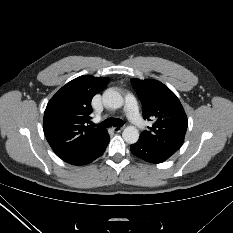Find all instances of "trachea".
<instances>
[{
  "instance_id": "1",
  "label": "trachea",
  "mask_w": 233,
  "mask_h": 233,
  "mask_svg": "<svg viewBox=\"0 0 233 233\" xmlns=\"http://www.w3.org/2000/svg\"><path fill=\"white\" fill-rule=\"evenodd\" d=\"M123 125H124V122H122V120L107 118L102 123H100L98 125H94V126L108 128V127H112V126L121 127Z\"/></svg>"
}]
</instances>
